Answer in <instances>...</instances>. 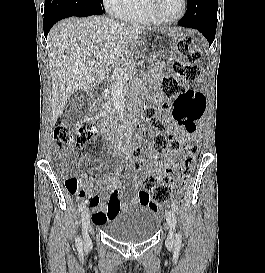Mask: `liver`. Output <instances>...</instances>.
<instances>
[{
  "label": "liver",
  "instance_id": "6515ba94",
  "mask_svg": "<svg viewBox=\"0 0 265 273\" xmlns=\"http://www.w3.org/2000/svg\"><path fill=\"white\" fill-rule=\"evenodd\" d=\"M143 30L142 25L119 23L104 16L64 19L51 29L48 58L54 123L75 92L91 91L108 79L111 69Z\"/></svg>",
  "mask_w": 265,
  "mask_h": 273
}]
</instances>
